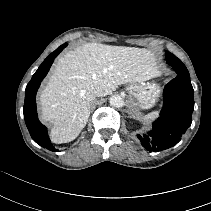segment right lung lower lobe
Returning <instances> with one entry per match:
<instances>
[{
  "instance_id": "1",
  "label": "right lung lower lobe",
  "mask_w": 211,
  "mask_h": 211,
  "mask_svg": "<svg viewBox=\"0 0 211 211\" xmlns=\"http://www.w3.org/2000/svg\"><path fill=\"white\" fill-rule=\"evenodd\" d=\"M63 48L65 47L61 45L58 49L51 53L34 73L25 90V102L23 109L26 126L32 139L43 148H47L55 152L57 149L52 145L48 137L47 128L38 120L35 97L41 81L48 73L55 57L63 50Z\"/></svg>"
}]
</instances>
